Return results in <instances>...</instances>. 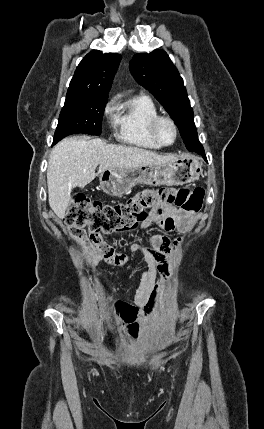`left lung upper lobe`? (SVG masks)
I'll return each instance as SVG.
<instances>
[{"mask_svg":"<svg viewBox=\"0 0 264 429\" xmlns=\"http://www.w3.org/2000/svg\"><path fill=\"white\" fill-rule=\"evenodd\" d=\"M130 70L135 80L149 90L173 118L187 149H203L183 79L167 53L158 49L149 54H136Z\"/></svg>","mask_w":264,"mask_h":429,"instance_id":"obj_1","label":"left lung upper lobe"}]
</instances>
